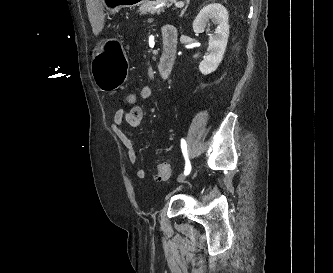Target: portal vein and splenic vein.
Segmentation results:
<instances>
[{
  "instance_id": "obj_1",
  "label": "portal vein and splenic vein",
  "mask_w": 333,
  "mask_h": 273,
  "mask_svg": "<svg viewBox=\"0 0 333 273\" xmlns=\"http://www.w3.org/2000/svg\"><path fill=\"white\" fill-rule=\"evenodd\" d=\"M160 6H162V5H159V6L155 7V8L157 9V8H159ZM175 6L178 7V8H181V7L184 6V3H183V2H177V3H175Z\"/></svg>"
}]
</instances>
